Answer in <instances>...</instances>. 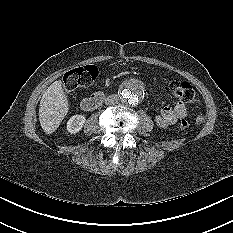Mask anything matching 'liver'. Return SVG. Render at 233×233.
<instances>
[{
  "mask_svg": "<svg viewBox=\"0 0 233 233\" xmlns=\"http://www.w3.org/2000/svg\"><path fill=\"white\" fill-rule=\"evenodd\" d=\"M69 110L67 96L60 80L53 82L43 93L39 107V121L47 134H52L61 124Z\"/></svg>",
  "mask_w": 233,
  "mask_h": 233,
  "instance_id": "1",
  "label": "liver"
}]
</instances>
